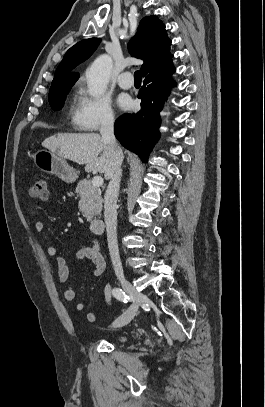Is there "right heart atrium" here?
<instances>
[{
  "mask_svg": "<svg viewBox=\"0 0 265 407\" xmlns=\"http://www.w3.org/2000/svg\"><path fill=\"white\" fill-rule=\"evenodd\" d=\"M75 122L80 129L97 131L112 126L115 123V113L110 101L105 96H92L81 87L76 106Z\"/></svg>",
  "mask_w": 265,
  "mask_h": 407,
  "instance_id": "d8ad5b80",
  "label": "right heart atrium"
}]
</instances>
